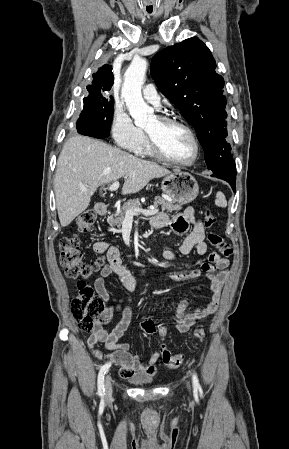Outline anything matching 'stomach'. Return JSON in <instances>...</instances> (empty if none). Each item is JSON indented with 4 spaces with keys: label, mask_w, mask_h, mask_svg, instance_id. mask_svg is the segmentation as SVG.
I'll return each instance as SVG.
<instances>
[{
    "label": "stomach",
    "mask_w": 289,
    "mask_h": 449,
    "mask_svg": "<svg viewBox=\"0 0 289 449\" xmlns=\"http://www.w3.org/2000/svg\"><path fill=\"white\" fill-rule=\"evenodd\" d=\"M164 194L179 204L192 202L199 193L196 179L187 172L175 171L164 177L161 183Z\"/></svg>",
    "instance_id": "stomach-1"
}]
</instances>
